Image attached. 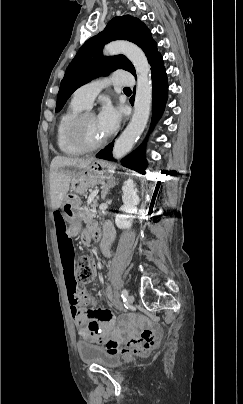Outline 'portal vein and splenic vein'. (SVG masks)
<instances>
[{"label": "portal vein and splenic vein", "mask_w": 243, "mask_h": 404, "mask_svg": "<svg viewBox=\"0 0 243 404\" xmlns=\"http://www.w3.org/2000/svg\"><path fill=\"white\" fill-rule=\"evenodd\" d=\"M99 190H94V192H90V196L87 200V204H91V202H93L95 196H97Z\"/></svg>", "instance_id": "obj_1"}]
</instances>
